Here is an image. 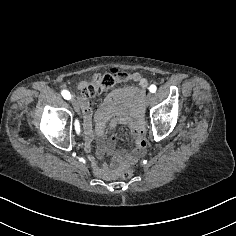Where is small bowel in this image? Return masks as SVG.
I'll use <instances>...</instances> for the list:
<instances>
[{
	"instance_id": "c3829d8e",
	"label": "small bowel",
	"mask_w": 236,
	"mask_h": 236,
	"mask_svg": "<svg viewBox=\"0 0 236 236\" xmlns=\"http://www.w3.org/2000/svg\"><path fill=\"white\" fill-rule=\"evenodd\" d=\"M116 79L138 82V85L113 90L94 114L95 128L92 125L93 111L90 103L85 97H80L86 151L90 150L91 142L96 139V153L99 158L105 154H113L110 165L99 164L95 158L90 157L96 175L105 179L112 178L121 168L136 162L146 150L143 106L147 81L138 72H117ZM84 85L85 82H80L79 88L82 89ZM109 121L110 129H114L117 125H124L130 129L135 141V149L132 152H127L125 149L114 152L116 141L113 137L107 136Z\"/></svg>"
}]
</instances>
